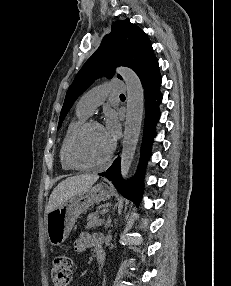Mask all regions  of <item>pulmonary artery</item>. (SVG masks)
<instances>
[{
    "instance_id": "pulmonary-artery-1",
    "label": "pulmonary artery",
    "mask_w": 231,
    "mask_h": 286,
    "mask_svg": "<svg viewBox=\"0 0 231 286\" xmlns=\"http://www.w3.org/2000/svg\"><path fill=\"white\" fill-rule=\"evenodd\" d=\"M125 91L126 85L123 81L111 80L86 92L78 101L77 110L89 116L104 102L108 94H119Z\"/></svg>"
}]
</instances>
